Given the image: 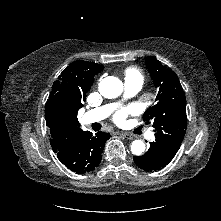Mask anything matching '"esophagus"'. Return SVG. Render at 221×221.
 <instances>
[{"label":"esophagus","mask_w":221,"mask_h":221,"mask_svg":"<svg viewBox=\"0 0 221 221\" xmlns=\"http://www.w3.org/2000/svg\"><path fill=\"white\" fill-rule=\"evenodd\" d=\"M118 134L121 135L122 137L126 138V139H129V140L133 139V136L131 134L123 133V132L118 133Z\"/></svg>","instance_id":"esophagus-1"}]
</instances>
